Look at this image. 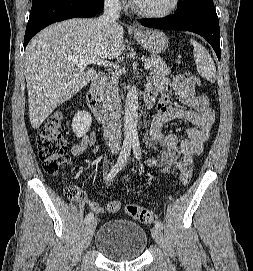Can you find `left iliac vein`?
<instances>
[{"mask_svg":"<svg viewBox=\"0 0 253 271\" xmlns=\"http://www.w3.org/2000/svg\"><path fill=\"white\" fill-rule=\"evenodd\" d=\"M152 236L155 240V242L162 248L165 249V241H164V237L162 234L161 229L157 228V227H153L152 228Z\"/></svg>","mask_w":253,"mask_h":271,"instance_id":"left-iliac-vein-1","label":"left iliac vein"}]
</instances>
